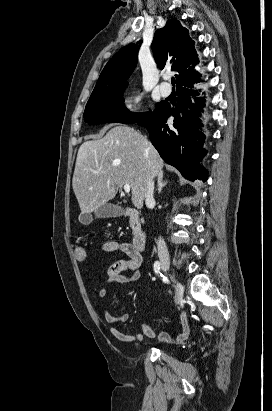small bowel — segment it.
<instances>
[{
  "label": "small bowel",
  "instance_id": "small-bowel-1",
  "mask_svg": "<svg viewBox=\"0 0 272 411\" xmlns=\"http://www.w3.org/2000/svg\"><path fill=\"white\" fill-rule=\"evenodd\" d=\"M103 250L106 252L120 251L127 256L126 259H121L113 263L107 272L104 280V286L98 291L100 298H105L108 295L107 285L115 283H131L140 278V266L142 264V256L140 252L134 248L132 243L108 241L104 243ZM120 310L118 315H113L108 308L103 311V316L108 324L126 323L130 315L121 305L117 306ZM110 333L114 338L122 342L145 343L144 337L156 338L160 341L171 342L172 339L164 332L155 331L149 324H141V333L126 334L118 330L116 327H110ZM190 334V329L185 318H183V332L175 339L176 342L185 341Z\"/></svg>",
  "mask_w": 272,
  "mask_h": 411
}]
</instances>
